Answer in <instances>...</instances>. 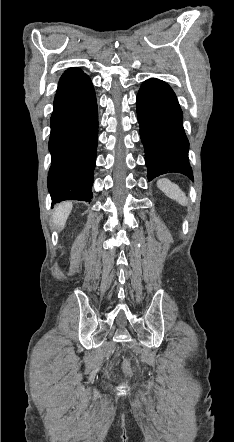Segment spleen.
Segmentation results:
<instances>
[{"mask_svg": "<svg viewBox=\"0 0 234 442\" xmlns=\"http://www.w3.org/2000/svg\"><path fill=\"white\" fill-rule=\"evenodd\" d=\"M158 188L164 192V194L170 199L176 200L179 204L186 206L188 199L185 193L179 188L178 185L170 180L163 178L157 181Z\"/></svg>", "mask_w": 234, "mask_h": 442, "instance_id": "obj_1", "label": "spleen"}]
</instances>
